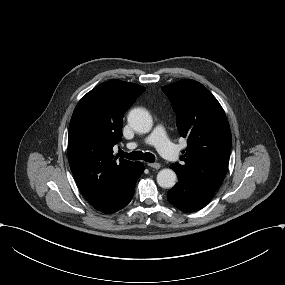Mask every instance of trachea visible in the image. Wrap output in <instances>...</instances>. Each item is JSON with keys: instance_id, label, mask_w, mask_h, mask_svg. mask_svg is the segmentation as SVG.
Masks as SVG:
<instances>
[{"instance_id": "1", "label": "trachea", "mask_w": 285, "mask_h": 285, "mask_svg": "<svg viewBox=\"0 0 285 285\" xmlns=\"http://www.w3.org/2000/svg\"><path fill=\"white\" fill-rule=\"evenodd\" d=\"M118 155L130 160H144L149 163H153L155 161V156L149 152L143 153L141 151H133L132 153H126L120 150Z\"/></svg>"}]
</instances>
